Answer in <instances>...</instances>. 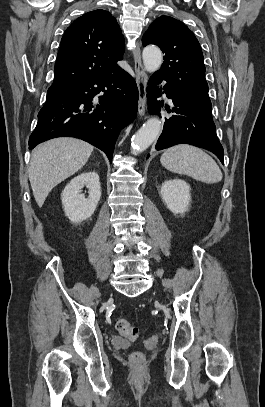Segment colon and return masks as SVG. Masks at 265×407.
I'll return each instance as SVG.
<instances>
[{
  "instance_id": "5ec220e1",
  "label": "colon",
  "mask_w": 265,
  "mask_h": 407,
  "mask_svg": "<svg viewBox=\"0 0 265 407\" xmlns=\"http://www.w3.org/2000/svg\"><path fill=\"white\" fill-rule=\"evenodd\" d=\"M116 329L129 340H137L141 336V329L138 326L130 324L126 319L120 318L116 322ZM130 359L134 363H141L144 359L141 352H134Z\"/></svg>"
}]
</instances>
